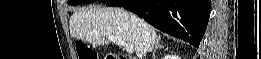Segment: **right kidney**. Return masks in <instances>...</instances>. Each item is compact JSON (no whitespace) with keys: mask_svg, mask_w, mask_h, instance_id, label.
Returning a JSON list of instances; mask_svg holds the SVG:
<instances>
[{"mask_svg":"<svg viewBox=\"0 0 261 59\" xmlns=\"http://www.w3.org/2000/svg\"><path fill=\"white\" fill-rule=\"evenodd\" d=\"M164 59H180L178 56H166Z\"/></svg>","mask_w":261,"mask_h":59,"instance_id":"right-kidney-1","label":"right kidney"}]
</instances>
